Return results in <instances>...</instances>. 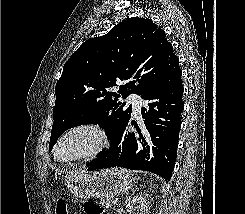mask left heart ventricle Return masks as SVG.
Instances as JSON below:
<instances>
[{
    "mask_svg": "<svg viewBox=\"0 0 245 214\" xmlns=\"http://www.w3.org/2000/svg\"><path fill=\"white\" fill-rule=\"evenodd\" d=\"M96 141V137L90 132L79 131L72 133L60 143L57 155L61 159L79 156L91 150Z\"/></svg>",
    "mask_w": 245,
    "mask_h": 214,
    "instance_id": "obj_1",
    "label": "left heart ventricle"
}]
</instances>
